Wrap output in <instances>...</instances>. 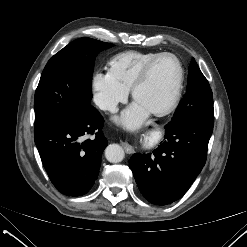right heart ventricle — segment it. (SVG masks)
Masks as SVG:
<instances>
[{
  "label": "right heart ventricle",
  "instance_id": "e07e8e85",
  "mask_svg": "<svg viewBox=\"0 0 247 247\" xmlns=\"http://www.w3.org/2000/svg\"><path fill=\"white\" fill-rule=\"evenodd\" d=\"M157 52L126 51L113 57L108 64V71L114 79L129 90L142 68Z\"/></svg>",
  "mask_w": 247,
  "mask_h": 247
}]
</instances>
